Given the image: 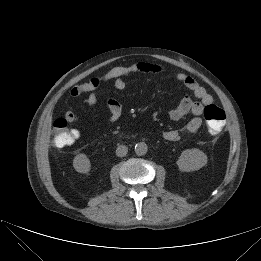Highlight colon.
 Instances as JSON below:
<instances>
[{
  "label": "colon",
  "mask_w": 261,
  "mask_h": 261,
  "mask_svg": "<svg viewBox=\"0 0 261 261\" xmlns=\"http://www.w3.org/2000/svg\"><path fill=\"white\" fill-rule=\"evenodd\" d=\"M206 126L211 134H217L222 129L226 116L225 112L214 104H209L203 111ZM53 143L58 148H63L73 144L79 136L77 130L68 127L65 118H58L53 124Z\"/></svg>",
  "instance_id": "colon-1"
}]
</instances>
